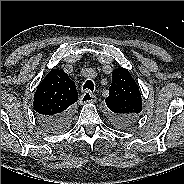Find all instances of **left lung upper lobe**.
<instances>
[{
	"mask_svg": "<svg viewBox=\"0 0 184 184\" xmlns=\"http://www.w3.org/2000/svg\"><path fill=\"white\" fill-rule=\"evenodd\" d=\"M105 102L110 110V117L117 126L125 127L140 117L141 93L127 69L118 68L113 71L109 96Z\"/></svg>",
	"mask_w": 184,
	"mask_h": 184,
	"instance_id": "obj_1",
	"label": "left lung upper lobe"
}]
</instances>
